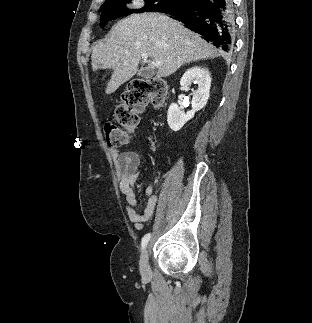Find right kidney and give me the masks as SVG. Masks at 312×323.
I'll use <instances>...</instances> for the list:
<instances>
[{"label": "right kidney", "instance_id": "obj_1", "mask_svg": "<svg viewBox=\"0 0 312 323\" xmlns=\"http://www.w3.org/2000/svg\"><path fill=\"white\" fill-rule=\"evenodd\" d=\"M191 84H197L198 86L196 90H193L192 110L185 114L183 108H178L177 104H171L169 106L167 122L169 128L174 130V132L181 130L182 126L193 118L195 112L202 110L206 106L210 96L211 86L209 70L204 68V66H193V68H189L184 76H182L180 86L184 90H189Z\"/></svg>", "mask_w": 312, "mask_h": 323}]
</instances>
